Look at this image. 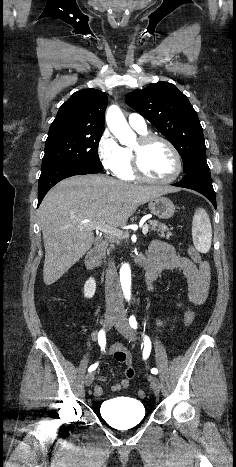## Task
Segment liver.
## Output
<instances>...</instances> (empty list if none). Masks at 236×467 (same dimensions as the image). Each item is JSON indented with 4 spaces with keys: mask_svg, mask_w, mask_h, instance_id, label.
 <instances>
[{
    "mask_svg": "<svg viewBox=\"0 0 236 467\" xmlns=\"http://www.w3.org/2000/svg\"><path fill=\"white\" fill-rule=\"evenodd\" d=\"M176 191L97 174L73 176L56 184L38 210L45 247L44 283L56 282L86 254L95 240V224L124 226L139 205Z\"/></svg>",
    "mask_w": 236,
    "mask_h": 467,
    "instance_id": "obj_1",
    "label": "liver"
}]
</instances>
